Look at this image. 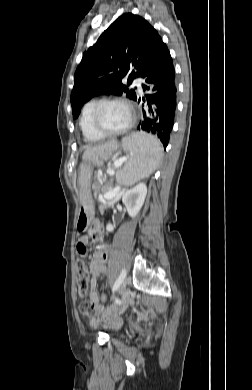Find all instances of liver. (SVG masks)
<instances>
[{"label":"liver","mask_w":252,"mask_h":390,"mask_svg":"<svg viewBox=\"0 0 252 390\" xmlns=\"http://www.w3.org/2000/svg\"><path fill=\"white\" fill-rule=\"evenodd\" d=\"M107 144H104V145H98V146H94V147H86V151L87 150H95V149H99V148H102V147H105Z\"/></svg>","instance_id":"liver-1"}]
</instances>
